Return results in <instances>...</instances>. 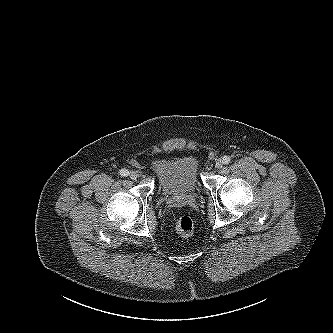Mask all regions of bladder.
I'll return each mask as SVG.
<instances>
[{
	"label": "bladder",
	"instance_id": "31cf9c89",
	"mask_svg": "<svg viewBox=\"0 0 333 333\" xmlns=\"http://www.w3.org/2000/svg\"><path fill=\"white\" fill-rule=\"evenodd\" d=\"M199 159L183 154L154 162L153 170L160 192L166 196L194 194L200 184Z\"/></svg>",
	"mask_w": 333,
	"mask_h": 333
}]
</instances>
